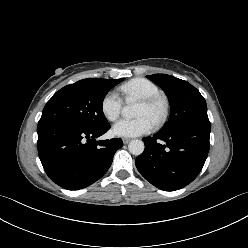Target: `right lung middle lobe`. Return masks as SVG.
I'll return each instance as SVG.
<instances>
[{"mask_svg":"<svg viewBox=\"0 0 248 248\" xmlns=\"http://www.w3.org/2000/svg\"><path fill=\"white\" fill-rule=\"evenodd\" d=\"M124 79H84L63 87L47 102L39 122L63 120L86 128L108 125L104 97Z\"/></svg>","mask_w":248,"mask_h":248,"instance_id":"obj_1","label":"right lung middle lobe"}]
</instances>
